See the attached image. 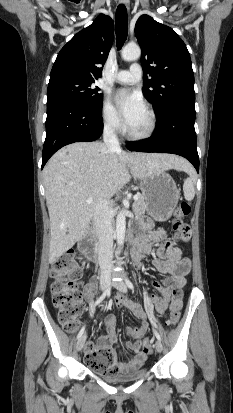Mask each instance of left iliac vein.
<instances>
[{
  "instance_id": "1",
  "label": "left iliac vein",
  "mask_w": 233,
  "mask_h": 413,
  "mask_svg": "<svg viewBox=\"0 0 233 413\" xmlns=\"http://www.w3.org/2000/svg\"><path fill=\"white\" fill-rule=\"evenodd\" d=\"M114 287H115L116 289H118L119 291L123 292V293H126V292H127V285H126V283H125L124 281H122V280H119V281L115 282V283H114ZM155 348H156V351H157L158 353H161V352H162V350H163V345H162V343H161L160 340H157V341H156V343H155Z\"/></svg>"
}]
</instances>
